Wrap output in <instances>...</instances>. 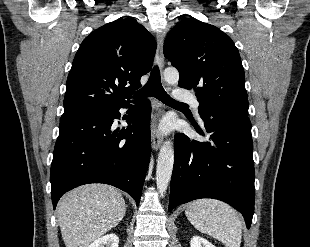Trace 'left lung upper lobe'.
I'll return each mask as SVG.
<instances>
[{"label": "left lung upper lobe", "instance_id": "left-lung-upper-lobe-1", "mask_svg": "<svg viewBox=\"0 0 310 247\" xmlns=\"http://www.w3.org/2000/svg\"><path fill=\"white\" fill-rule=\"evenodd\" d=\"M164 56L180 74L178 85L196 90L199 114L228 113L248 117V98L240 54L217 27L181 20L167 35Z\"/></svg>", "mask_w": 310, "mask_h": 247}]
</instances>
